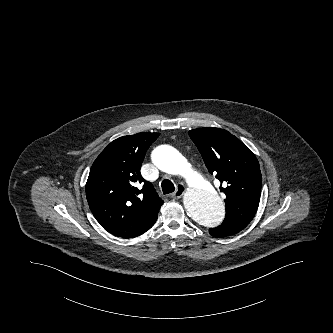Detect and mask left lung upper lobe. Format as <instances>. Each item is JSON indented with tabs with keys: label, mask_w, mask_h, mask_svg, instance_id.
Returning a JSON list of instances; mask_svg holds the SVG:
<instances>
[{
	"label": "left lung upper lobe",
	"mask_w": 333,
	"mask_h": 333,
	"mask_svg": "<svg viewBox=\"0 0 333 333\" xmlns=\"http://www.w3.org/2000/svg\"><path fill=\"white\" fill-rule=\"evenodd\" d=\"M189 136L200 151L208 171L220 180L226 216L248 225L258 209L262 176L255 155L234 135L220 128H199Z\"/></svg>",
	"instance_id": "1"
}]
</instances>
